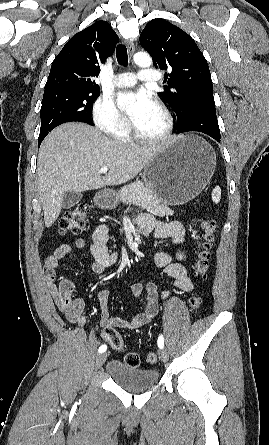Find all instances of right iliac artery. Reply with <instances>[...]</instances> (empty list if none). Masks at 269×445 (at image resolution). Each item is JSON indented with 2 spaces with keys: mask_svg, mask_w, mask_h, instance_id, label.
Listing matches in <instances>:
<instances>
[{
  "mask_svg": "<svg viewBox=\"0 0 269 445\" xmlns=\"http://www.w3.org/2000/svg\"><path fill=\"white\" fill-rule=\"evenodd\" d=\"M106 349H107V346L104 344V345H101L100 347H99V350H98V352L99 353H103L104 351H106Z\"/></svg>",
  "mask_w": 269,
  "mask_h": 445,
  "instance_id": "82829eb1",
  "label": "right iliac artery"
}]
</instances>
